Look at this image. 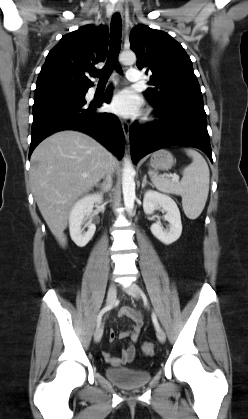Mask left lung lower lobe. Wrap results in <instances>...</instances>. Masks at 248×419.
<instances>
[{
  "mask_svg": "<svg viewBox=\"0 0 248 419\" xmlns=\"http://www.w3.org/2000/svg\"><path fill=\"white\" fill-rule=\"evenodd\" d=\"M155 113L157 123L130 128L134 164L153 151L175 145L198 148L212 161L203 102L169 103L156 107Z\"/></svg>",
  "mask_w": 248,
  "mask_h": 419,
  "instance_id": "0a47b994",
  "label": "left lung lower lobe"
}]
</instances>
